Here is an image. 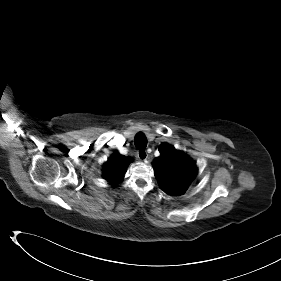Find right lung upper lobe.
I'll return each instance as SVG.
<instances>
[{
  "label": "right lung upper lobe",
  "mask_w": 281,
  "mask_h": 281,
  "mask_svg": "<svg viewBox=\"0 0 281 281\" xmlns=\"http://www.w3.org/2000/svg\"><path fill=\"white\" fill-rule=\"evenodd\" d=\"M132 158L124 157L115 152L103 166V177L108 180L111 185H117L122 181L126 168Z\"/></svg>",
  "instance_id": "cb5924a9"
}]
</instances>
